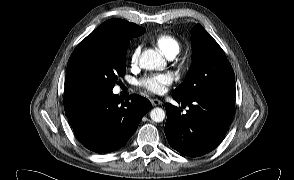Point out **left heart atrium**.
Listing matches in <instances>:
<instances>
[{"label": "left heart atrium", "instance_id": "obj_1", "mask_svg": "<svg viewBox=\"0 0 294 180\" xmlns=\"http://www.w3.org/2000/svg\"><path fill=\"white\" fill-rule=\"evenodd\" d=\"M171 81L172 78L170 75L158 74L142 78L139 81V85L151 93L161 94L165 91L166 86L169 85Z\"/></svg>", "mask_w": 294, "mask_h": 180}]
</instances>
